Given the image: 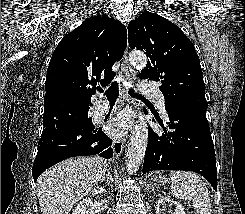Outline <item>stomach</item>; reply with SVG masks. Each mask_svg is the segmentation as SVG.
Instances as JSON below:
<instances>
[{"instance_id": "obj_1", "label": "stomach", "mask_w": 245, "mask_h": 214, "mask_svg": "<svg viewBox=\"0 0 245 214\" xmlns=\"http://www.w3.org/2000/svg\"><path fill=\"white\" fill-rule=\"evenodd\" d=\"M152 180L156 185L160 184L163 181L161 177H153Z\"/></svg>"}]
</instances>
